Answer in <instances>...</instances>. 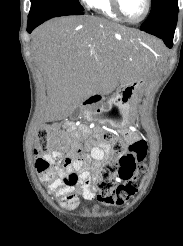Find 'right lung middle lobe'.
Segmentation results:
<instances>
[{
    "label": "right lung middle lobe",
    "mask_w": 183,
    "mask_h": 246,
    "mask_svg": "<svg viewBox=\"0 0 183 246\" xmlns=\"http://www.w3.org/2000/svg\"><path fill=\"white\" fill-rule=\"evenodd\" d=\"M83 10L79 0H31L28 20L46 21L62 14Z\"/></svg>",
    "instance_id": "dd1d6c3e"
}]
</instances>
